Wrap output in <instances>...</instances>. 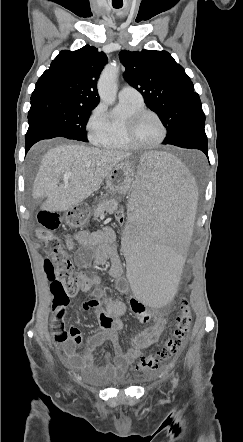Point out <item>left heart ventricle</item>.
Instances as JSON below:
<instances>
[{"label":"left heart ventricle","mask_w":243,"mask_h":442,"mask_svg":"<svg viewBox=\"0 0 243 442\" xmlns=\"http://www.w3.org/2000/svg\"><path fill=\"white\" fill-rule=\"evenodd\" d=\"M162 128L158 120L152 115L142 117L135 129V138L143 144H152L159 140Z\"/></svg>","instance_id":"1"}]
</instances>
